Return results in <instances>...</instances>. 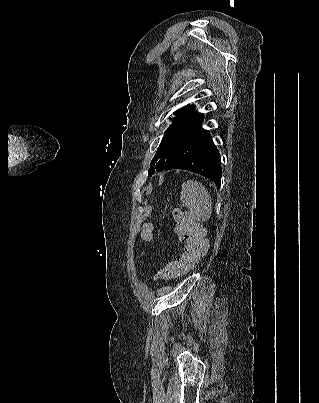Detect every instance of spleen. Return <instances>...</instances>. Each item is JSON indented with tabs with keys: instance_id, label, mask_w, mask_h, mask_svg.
Listing matches in <instances>:
<instances>
[{
	"instance_id": "3e777b00",
	"label": "spleen",
	"mask_w": 319,
	"mask_h": 403,
	"mask_svg": "<svg viewBox=\"0 0 319 403\" xmlns=\"http://www.w3.org/2000/svg\"><path fill=\"white\" fill-rule=\"evenodd\" d=\"M180 200L188 208V217L198 222L209 220L212 215V198L205 186L196 180L181 185Z\"/></svg>"
}]
</instances>
